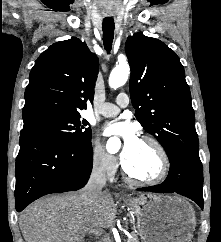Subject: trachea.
Instances as JSON below:
<instances>
[{"instance_id":"1","label":"trachea","mask_w":221,"mask_h":242,"mask_svg":"<svg viewBox=\"0 0 221 242\" xmlns=\"http://www.w3.org/2000/svg\"><path fill=\"white\" fill-rule=\"evenodd\" d=\"M114 20L111 18L103 19V44L105 50L109 53L111 51L112 42L114 38Z\"/></svg>"}]
</instances>
